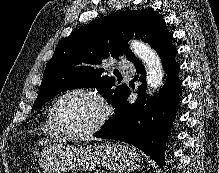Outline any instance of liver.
Returning a JSON list of instances; mask_svg holds the SVG:
<instances>
[{"label": "liver", "instance_id": "obj_1", "mask_svg": "<svg viewBox=\"0 0 219 173\" xmlns=\"http://www.w3.org/2000/svg\"><path fill=\"white\" fill-rule=\"evenodd\" d=\"M42 143H43V141L39 142V144H42Z\"/></svg>", "mask_w": 219, "mask_h": 173}]
</instances>
